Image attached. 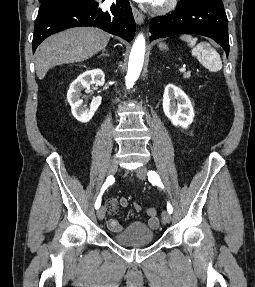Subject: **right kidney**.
Instances as JSON below:
<instances>
[{"label": "right kidney", "instance_id": "ca27d5eb", "mask_svg": "<svg viewBox=\"0 0 255 287\" xmlns=\"http://www.w3.org/2000/svg\"><path fill=\"white\" fill-rule=\"evenodd\" d=\"M104 78L105 74L102 70H88V72L80 74L77 80H74V82L70 84V88L67 92V100L71 106V112L78 122H82V124L89 122V120L93 118L96 110H98L102 100L101 96H97V98L93 100L90 108L82 106L83 100H80L81 90H83V88H89L92 84L103 86L105 82Z\"/></svg>", "mask_w": 255, "mask_h": 287}]
</instances>
